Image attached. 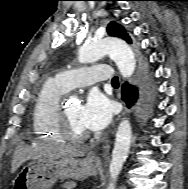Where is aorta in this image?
<instances>
[{
    "mask_svg": "<svg viewBox=\"0 0 188 189\" xmlns=\"http://www.w3.org/2000/svg\"><path fill=\"white\" fill-rule=\"evenodd\" d=\"M109 55L116 63L123 78L132 76L135 70V57L131 48L124 41L106 37L84 45L79 49L78 60L80 63H92ZM132 128L127 119H123L117 129L112 159L109 165L111 182L108 189H115V183L125 163L131 145Z\"/></svg>",
    "mask_w": 188,
    "mask_h": 189,
    "instance_id": "762f6f07",
    "label": "aorta"
}]
</instances>
